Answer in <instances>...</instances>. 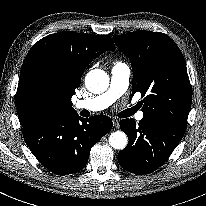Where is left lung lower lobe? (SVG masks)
Returning <instances> with one entry per match:
<instances>
[{
	"label": "left lung lower lobe",
	"mask_w": 206,
	"mask_h": 206,
	"mask_svg": "<svg viewBox=\"0 0 206 206\" xmlns=\"http://www.w3.org/2000/svg\"><path fill=\"white\" fill-rule=\"evenodd\" d=\"M128 145L119 152L120 166L134 174H148L162 166L186 130V125L160 118L143 117L136 125L132 118L120 121Z\"/></svg>",
	"instance_id": "obj_1"
}]
</instances>
